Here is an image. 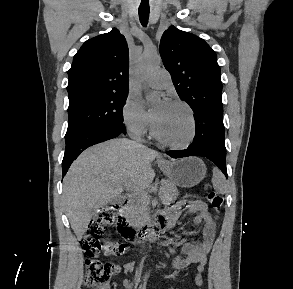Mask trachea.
I'll list each match as a JSON object with an SVG mask.
<instances>
[{
  "instance_id": "1",
  "label": "trachea",
  "mask_w": 293,
  "mask_h": 289,
  "mask_svg": "<svg viewBox=\"0 0 293 289\" xmlns=\"http://www.w3.org/2000/svg\"><path fill=\"white\" fill-rule=\"evenodd\" d=\"M140 22L143 26H146L149 19V9H141L138 10Z\"/></svg>"
}]
</instances>
